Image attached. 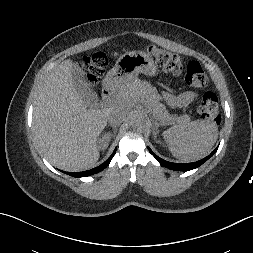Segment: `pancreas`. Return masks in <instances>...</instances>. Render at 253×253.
I'll use <instances>...</instances> for the list:
<instances>
[{
	"mask_svg": "<svg viewBox=\"0 0 253 253\" xmlns=\"http://www.w3.org/2000/svg\"><path fill=\"white\" fill-rule=\"evenodd\" d=\"M138 95L144 98L146 104L160 121L181 125L190 123L191 119L188 115H170L166 107L160 103L161 98L157 91L148 82L135 80L122 84L115 93V99L119 103H124Z\"/></svg>",
	"mask_w": 253,
	"mask_h": 253,
	"instance_id": "1",
	"label": "pancreas"
}]
</instances>
